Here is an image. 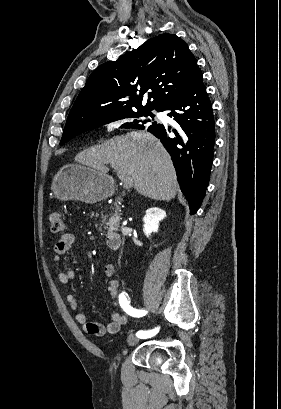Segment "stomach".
<instances>
[{
    "label": "stomach",
    "mask_w": 281,
    "mask_h": 409,
    "mask_svg": "<svg viewBox=\"0 0 281 409\" xmlns=\"http://www.w3.org/2000/svg\"><path fill=\"white\" fill-rule=\"evenodd\" d=\"M51 190L60 200L98 202L114 192V180L88 164H65L55 174Z\"/></svg>",
    "instance_id": "0dacf381"
}]
</instances>
